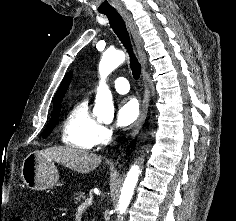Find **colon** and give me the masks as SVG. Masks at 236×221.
Returning <instances> with one entry per match:
<instances>
[{"mask_svg": "<svg viewBox=\"0 0 236 221\" xmlns=\"http://www.w3.org/2000/svg\"><path fill=\"white\" fill-rule=\"evenodd\" d=\"M13 221H29V220L24 216H17L13 219Z\"/></svg>", "mask_w": 236, "mask_h": 221, "instance_id": "obj_1", "label": "colon"}]
</instances>
